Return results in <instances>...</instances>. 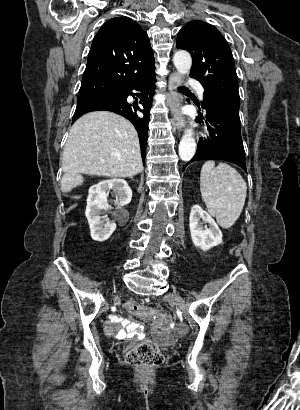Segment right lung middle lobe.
I'll return each mask as SVG.
<instances>
[{"instance_id":"1","label":"right lung middle lobe","mask_w":300,"mask_h":410,"mask_svg":"<svg viewBox=\"0 0 300 410\" xmlns=\"http://www.w3.org/2000/svg\"><path fill=\"white\" fill-rule=\"evenodd\" d=\"M121 89L102 82H82L77 102L103 95H120Z\"/></svg>"}]
</instances>
